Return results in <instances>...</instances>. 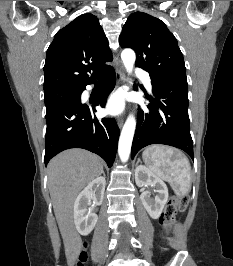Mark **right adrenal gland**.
<instances>
[{
  "mask_svg": "<svg viewBox=\"0 0 233 266\" xmlns=\"http://www.w3.org/2000/svg\"><path fill=\"white\" fill-rule=\"evenodd\" d=\"M101 174H103L105 176V172L102 170Z\"/></svg>",
  "mask_w": 233,
  "mask_h": 266,
  "instance_id": "2a0ac1e0",
  "label": "right adrenal gland"
}]
</instances>
